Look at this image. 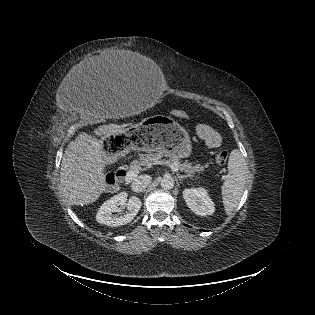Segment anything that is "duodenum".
Masks as SVG:
<instances>
[{"label":"duodenum","instance_id":"1","mask_svg":"<svg viewBox=\"0 0 315 315\" xmlns=\"http://www.w3.org/2000/svg\"><path fill=\"white\" fill-rule=\"evenodd\" d=\"M126 171L123 170V169H120L118 170L116 173H115V178L117 181H120L122 179H124L126 177Z\"/></svg>","mask_w":315,"mask_h":315}]
</instances>
